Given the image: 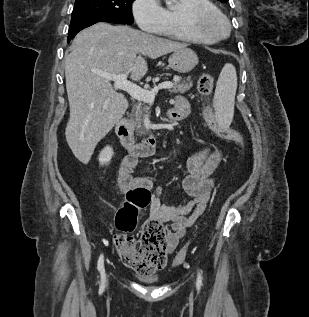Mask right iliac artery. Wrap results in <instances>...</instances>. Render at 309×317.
<instances>
[{
	"label": "right iliac artery",
	"mask_w": 309,
	"mask_h": 317,
	"mask_svg": "<svg viewBox=\"0 0 309 317\" xmlns=\"http://www.w3.org/2000/svg\"><path fill=\"white\" fill-rule=\"evenodd\" d=\"M97 268H98V271L100 273L101 283L104 284L105 270H104V256H103V254H101L99 259H98Z\"/></svg>",
	"instance_id": "right-iliac-artery-1"
}]
</instances>
